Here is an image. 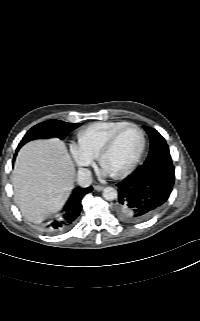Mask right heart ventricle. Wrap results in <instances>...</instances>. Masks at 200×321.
<instances>
[{"mask_svg":"<svg viewBox=\"0 0 200 321\" xmlns=\"http://www.w3.org/2000/svg\"><path fill=\"white\" fill-rule=\"evenodd\" d=\"M126 124H128L126 121H101L89 124L78 132V143L85 151L96 157L107 139Z\"/></svg>","mask_w":200,"mask_h":321,"instance_id":"right-heart-ventricle-1","label":"right heart ventricle"}]
</instances>
